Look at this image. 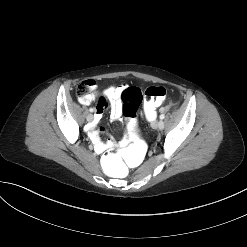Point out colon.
<instances>
[{"mask_svg":"<svg viewBox=\"0 0 247 247\" xmlns=\"http://www.w3.org/2000/svg\"><path fill=\"white\" fill-rule=\"evenodd\" d=\"M90 81L81 82L76 89L80 98L86 97L91 92ZM166 89L161 86L148 87L142 94L136 87H130L123 91L122 111L128 119L129 135L134 140L128 145L123 146L119 152L108 150L99 159V168L102 173L116 180H123L132 173L149 153V145L139 139L136 122V111L142 99L145 101L146 110L149 116H153L155 108L165 99Z\"/></svg>","mask_w":247,"mask_h":247,"instance_id":"colon-1","label":"colon"}]
</instances>
